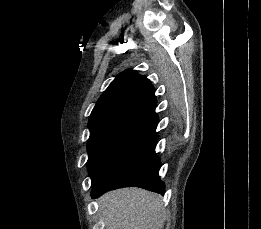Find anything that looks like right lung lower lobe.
Returning <instances> with one entry per match:
<instances>
[{"instance_id":"98d812e1","label":"right lung lower lobe","mask_w":261,"mask_h":229,"mask_svg":"<svg viewBox=\"0 0 261 229\" xmlns=\"http://www.w3.org/2000/svg\"><path fill=\"white\" fill-rule=\"evenodd\" d=\"M157 140L154 134L135 151L117 160L92 185L91 196L95 198L108 190L132 186L164 193L165 185L159 177L161 162L155 154Z\"/></svg>"}]
</instances>
